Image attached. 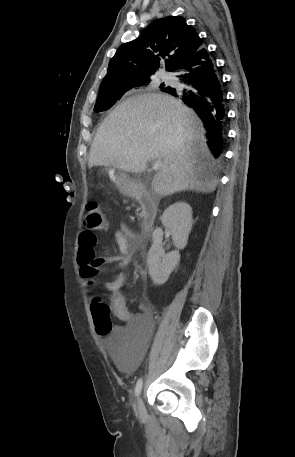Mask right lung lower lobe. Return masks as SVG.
Here are the masks:
<instances>
[{
    "label": "right lung lower lobe",
    "instance_id": "obj_1",
    "mask_svg": "<svg viewBox=\"0 0 295 457\" xmlns=\"http://www.w3.org/2000/svg\"><path fill=\"white\" fill-rule=\"evenodd\" d=\"M174 71L182 88L167 87L164 92L179 97L191 106L203 121L208 145L218 157L223 152L225 136V96L216 69L204 48L185 58Z\"/></svg>",
    "mask_w": 295,
    "mask_h": 457
}]
</instances>
